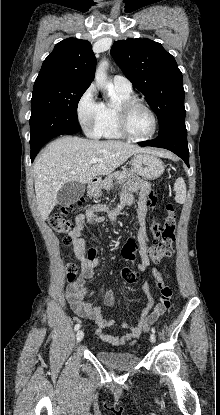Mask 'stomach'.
<instances>
[{
  "mask_svg": "<svg viewBox=\"0 0 220 415\" xmlns=\"http://www.w3.org/2000/svg\"><path fill=\"white\" fill-rule=\"evenodd\" d=\"M133 170L145 179L153 180L164 172L163 162L151 153H137L131 160ZM102 182L97 181L88 187V195L99 197L102 195Z\"/></svg>",
  "mask_w": 220,
  "mask_h": 415,
  "instance_id": "stomach-1",
  "label": "stomach"
}]
</instances>
